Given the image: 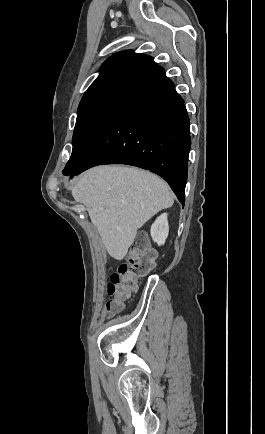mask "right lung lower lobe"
I'll use <instances>...</instances> for the list:
<instances>
[{
	"label": "right lung lower lobe",
	"instance_id": "obj_1",
	"mask_svg": "<svg viewBox=\"0 0 265 434\" xmlns=\"http://www.w3.org/2000/svg\"><path fill=\"white\" fill-rule=\"evenodd\" d=\"M190 146L184 100L155 63L129 81L83 158L63 174L101 164L137 166L161 176L184 205Z\"/></svg>",
	"mask_w": 265,
	"mask_h": 434
}]
</instances>
